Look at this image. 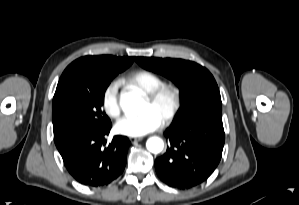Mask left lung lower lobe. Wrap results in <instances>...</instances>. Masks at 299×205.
Returning a JSON list of instances; mask_svg holds the SVG:
<instances>
[{"mask_svg": "<svg viewBox=\"0 0 299 205\" xmlns=\"http://www.w3.org/2000/svg\"><path fill=\"white\" fill-rule=\"evenodd\" d=\"M165 136L170 146L155 161L157 175L171 187L189 189L205 181L220 162L225 142L222 114L173 122Z\"/></svg>", "mask_w": 299, "mask_h": 205, "instance_id": "1", "label": "left lung lower lobe"}]
</instances>
